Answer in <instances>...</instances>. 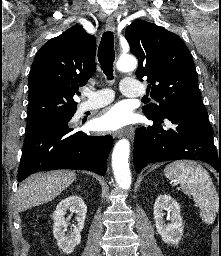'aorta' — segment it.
Wrapping results in <instances>:
<instances>
[{"instance_id":"obj_1","label":"aorta","mask_w":221,"mask_h":256,"mask_svg":"<svg viewBox=\"0 0 221 256\" xmlns=\"http://www.w3.org/2000/svg\"><path fill=\"white\" fill-rule=\"evenodd\" d=\"M136 66L137 61L132 56L121 57L116 63V68L122 72L134 70ZM129 154V141L127 139L119 140L112 153V167L117 184L125 190L130 188L132 181L128 163Z\"/></svg>"}]
</instances>
